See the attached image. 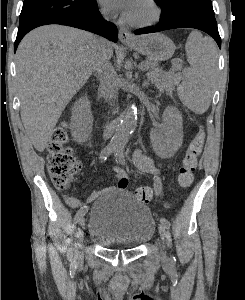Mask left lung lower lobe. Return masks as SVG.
<instances>
[{"instance_id": "left-lung-lower-lobe-1", "label": "left lung lower lobe", "mask_w": 245, "mask_h": 300, "mask_svg": "<svg viewBox=\"0 0 245 300\" xmlns=\"http://www.w3.org/2000/svg\"><path fill=\"white\" fill-rule=\"evenodd\" d=\"M175 28H195L202 30L213 37L218 46L221 47V38L214 14L189 7L176 8L171 14L165 18H161L155 27L137 29L135 34L154 33Z\"/></svg>"}]
</instances>
